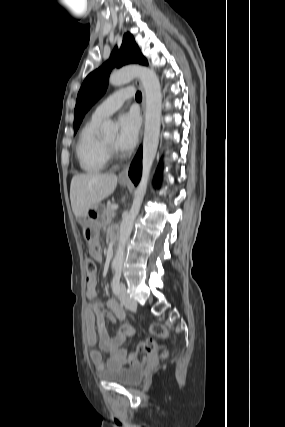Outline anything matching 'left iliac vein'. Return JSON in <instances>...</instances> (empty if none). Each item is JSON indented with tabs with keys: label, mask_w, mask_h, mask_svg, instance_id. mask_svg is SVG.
I'll return each mask as SVG.
<instances>
[{
	"label": "left iliac vein",
	"mask_w": 285,
	"mask_h": 427,
	"mask_svg": "<svg viewBox=\"0 0 285 427\" xmlns=\"http://www.w3.org/2000/svg\"><path fill=\"white\" fill-rule=\"evenodd\" d=\"M119 299L121 303L129 310H134L137 307V302L129 296L127 293L126 286L124 284L121 285L119 290Z\"/></svg>",
	"instance_id": "obj_1"
}]
</instances>
